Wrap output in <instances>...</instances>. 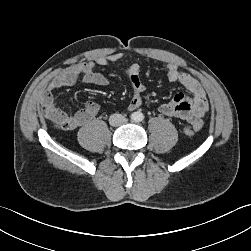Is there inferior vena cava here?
<instances>
[{
  "label": "inferior vena cava",
  "mask_w": 251,
  "mask_h": 251,
  "mask_svg": "<svg viewBox=\"0 0 251 251\" xmlns=\"http://www.w3.org/2000/svg\"><path fill=\"white\" fill-rule=\"evenodd\" d=\"M127 122V119L121 114H112L109 118V123L112 126H121Z\"/></svg>",
  "instance_id": "inferior-vena-cava-1"
}]
</instances>
